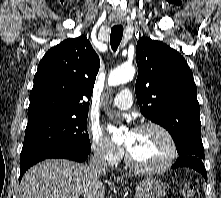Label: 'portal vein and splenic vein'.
Here are the masks:
<instances>
[{
	"label": "portal vein and splenic vein",
	"mask_w": 221,
	"mask_h": 198,
	"mask_svg": "<svg viewBox=\"0 0 221 198\" xmlns=\"http://www.w3.org/2000/svg\"><path fill=\"white\" fill-rule=\"evenodd\" d=\"M71 198H79V195H74Z\"/></svg>",
	"instance_id": "portal-vein-and-splenic-vein-1"
}]
</instances>
